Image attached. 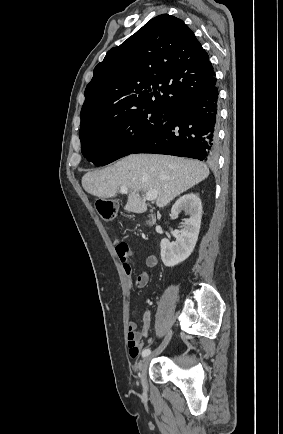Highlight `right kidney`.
Here are the masks:
<instances>
[{
	"mask_svg": "<svg viewBox=\"0 0 283 434\" xmlns=\"http://www.w3.org/2000/svg\"><path fill=\"white\" fill-rule=\"evenodd\" d=\"M181 211L189 215V218L184 219L179 237L174 242L166 238L161 240V259L167 267L185 261L193 252L198 239L202 217L200 198L193 193L180 197L171 209V216L178 218Z\"/></svg>",
	"mask_w": 283,
	"mask_h": 434,
	"instance_id": "right-kidney-1",
	"label": "right kidney"
}]
</instances>
